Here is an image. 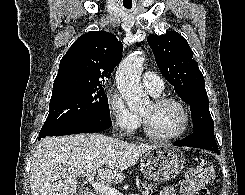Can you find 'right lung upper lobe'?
<instances>
[{"instance_id": "obj_1", "label": "right lung upper lobe", "mask_w": 245, "mask_h": 195, "mask_svg": "<svg viewBox=\"0 0 245 195\" xmlns=\"http://www.w3.org/2000/svg\"><path fill=\"white\" fill-rule=\"evenodd\" d=\"M123 45L109 32L80 36L61 59L53 92L83 87H105L122 59Z\"/></svg>"}]
</instances>
